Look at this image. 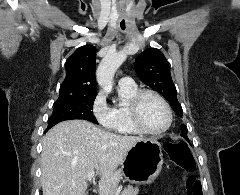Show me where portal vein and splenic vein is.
Here are the masks:
<instances>
[{"label":"portal vein and splenic vein","instance_id":"portal-vein-and-splenic-vein-1","mask_svg":"<svg viewBox=\"0 0 240 195\" xmlns=\"http://www.w3.org/2000/svg\"><path fill=\"white\" fill-rule=\"evenodd\" d=\"M90 175H93V173H90ZM89 181H91L92 177H88Z\"/></svg>","mask_w":240,"mask_h":195}]
</instances>
